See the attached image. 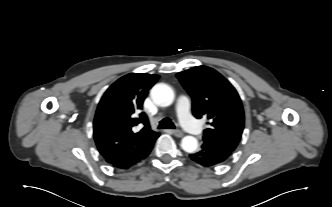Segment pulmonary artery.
Instances as JSON below:
<instances>
[{"mask_svg": "<svg viewBox=\"0 0 332 207\" xmlns=\"http://www.w3.org/2000/svg\"><path fill=\"white\" fill-rule=\"evenodd\" d=\"M191 111V102L190 99L186 95H180L177 98L176 102V113L179 118L181 125L194 134H198L201 132V128H199L191 119L190 116Z\"/></svg>", "mask_w": 332, "mask_h": 207, "instance_id": "obj_1", "label": "pulmonary artery"}]
</instances>
